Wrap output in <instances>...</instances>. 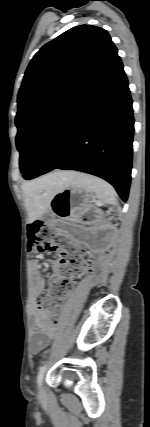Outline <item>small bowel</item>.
<instances>
[{
    "mask_svg": "<svg viewBox=\"0 0 150 427\" xmlns=\"http://www.w3.org/2000/svg\"><path fill=\"white\" fill-rule=\"evenodd\" d=\"M49 265L57 268L59 262L50 260ZM31 270L33 274L34 286L38 293L45 289V279L40 274V264L37 260L31 261ZM57 329L50 324L48 313L44 310L37 309L34 316V326L31 331L30 349L33 353H38L48 346L49 342L56 336Z\"/></svg>",
    "mask_w": 150,
    "mask_h": 427,
    "instance_id": "1",
    "label": "small bowel"
}]
</instances>
